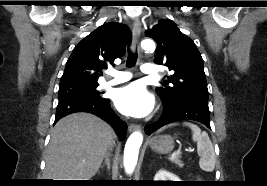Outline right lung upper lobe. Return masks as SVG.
Masks as SVG:
<instances>
[{"label":"right lung upper lobe","instance_id":"right-lung-upper-lobe-1","mask_svg":"<svg viewBox=\"0 0 267 186\" xmlns=\"http://www.w3.org/2000/svg\"><path fill=\"white\" fill-rule=\"evenodd\" d=\"M131 42V32L126 25L104 23L81 40L68 58L60 85L97 83L107 64L125 54Z\"/></svg>","mask_w":267,"mask_h":186}]
</instances>
